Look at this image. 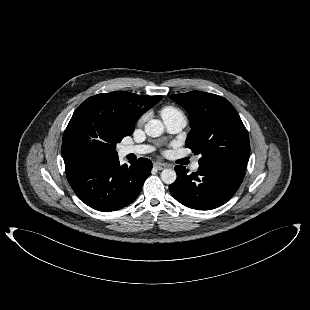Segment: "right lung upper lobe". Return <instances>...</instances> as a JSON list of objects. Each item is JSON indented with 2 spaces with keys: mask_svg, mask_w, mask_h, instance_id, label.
Wrapping results in <instances>:
<instances>
[{
  "mask_svg": "<svg viewBox=\"0 0 310 310\" xmlns=\"http://www.w3.org/2000/svg\"><path fill=\"white\" fill-rule=\"evenodd\" d=\"M161 98V96H140L125 91L97 94L86 99L74 112L70 121L73 122L79 118L92 122L107 120L129 136L134 131L136 121ZM66 132L67 130L64 132L62 141L65 167L93 160L77 157L68 151L65 139ZM117 156L118 154L108 153L95 159Z\"/></svg>",
  "mask_w": 310,
  "mask_h": 310,
  "instance_id": "obj_1",
  "label": "right lung upper lobe"
}]
</instances>
